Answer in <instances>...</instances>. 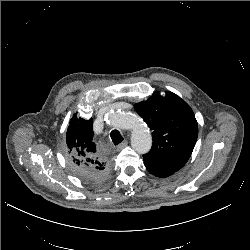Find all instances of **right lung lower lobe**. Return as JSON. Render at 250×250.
<instances>
[{
	"label": "right lung lower lobe",
	"mask_w": 250,
	"mask_h": 250,
	"mask_svg": "<svg viewBox=\"0 0 250 250\" xmlns=\"http://www.w3.org/2000/svg\"><path fill=\"white\" fill-rule=\"evenodd\" d=\"M71 167L80 179H82L83 181H87V182L101 181L102 179H104L106 177V175L108 174V171H109L108 168L101 170V171L83 170L72 163H71Z\"/></svg>",
	"instance_id": "obj_1"
}]
</instances>
